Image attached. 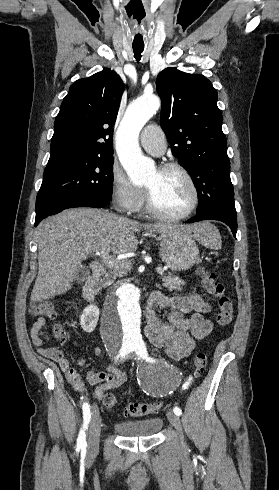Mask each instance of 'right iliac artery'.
<instances>
[{
    "label": "right iliac artery",
    "mask_w": 279,
    "mask_h": 490,
    "mask_svg": "<svg viewBox=\"0 0 279 490\" xmlns=\"http://www.w3.org/2000/svg\"><path fill=\"white\" fill-rule=\"evenodd\" d=\"M120 358L121 359H124L125 358V355L124 354H121L120 355ZM115 363L116 364H119L120 363V360L119 359H116L115 360ZM81 399H83V397H81ZM82 409H83L84 423H83V428L80 430L79 436H78V439H77V448H79V449H81L82 451L85 452V449H86V446H87L85 430L88 428V424H89L90 419H91V413H90L89 404L86 403V402L83 403Z\"/></svg>",
    "instance_id": "82829eb1"
}]
</instances>
